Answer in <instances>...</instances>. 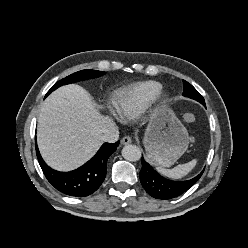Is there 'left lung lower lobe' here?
Returning a JSON list of instances; mask_svg holds the SVG:
<instances>
[{"label":"left lung lower lobe","mask_w":248,"mask_h":248,"mask_svg":"<svg viewBox=\"0 0 248 248\" xmlns=\"http://www.w3.org/2000/svg\"><path fill=\"white\" fill-rule=\"evenodd\" d=\"M205 106V105H204ZM140 181L145 191L157 199H172L191 188L201 177L203 171L191 180L172 181L158 174L143 158Z\"/></svg>","instance_id":"left-lung-lower-lobe-1"}]
</instances>
